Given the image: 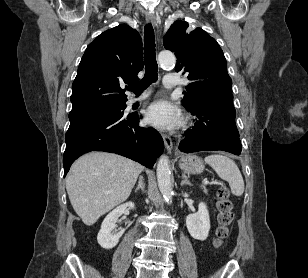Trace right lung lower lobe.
Listing matches in <instances>:
<instances>
[{"label":"right lung lower lobe","mask_w":308,"mask_h":278,"mask_svg":"<svg viewBox=\"0 0 308 278\" xmlns=\"http://www.w3.org/2000/svg\"><path fill=\"white\" fill-rule=\"evenodd\" d=\"M139 119L138 114H86L70 119L63 155L64 177L74 160L95 150L117 153L152 168L164 143L155 129L139 127Z\"/></svg>","instance_id":"98d812e1"}]
</instances>
